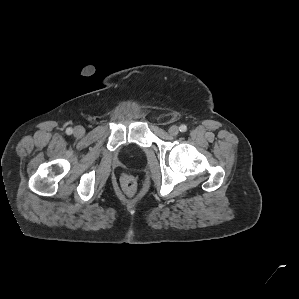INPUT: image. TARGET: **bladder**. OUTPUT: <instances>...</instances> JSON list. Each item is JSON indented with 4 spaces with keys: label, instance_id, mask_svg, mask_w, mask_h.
<instances>
[{
    "label": "bladder",
    "instance_id": "obj_1",
    "mask_svg": "<svg viewBox=\"0 0 299 299\" xmlns=\"http://www.w3.org/2000/svg\"><path fill=\"white\" fill-rule=\"evenodd\" d=\"M123 154L127 160L134 162L143 156V151L138 146L127 145L123 149Z\"/></svg>",
    "mask_w": 299,
    "mask_h": 299
}]
</instances>
